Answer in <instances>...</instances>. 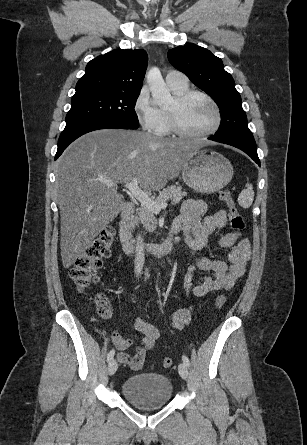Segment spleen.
<instances>
[{
	"label": "spleen",
	"mask_w": 307,
	"mask_h": 445,
	"mask_svg": "<svg viewBox=\"0 0 307 445\" xmlns=\"http://www.w3.org/2000/svg\"><path fill=\"white\" fill-rule=\"evenodd\" d=\"M247 188L241 190L238 196V202L243 208H249L254 200V190L252 184H246Z\"/></svg>",
	"instance_id": "1"
}]
</instances>
